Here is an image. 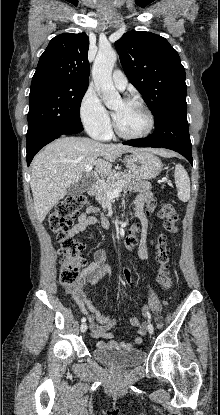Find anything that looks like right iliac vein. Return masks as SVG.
Here are the masks:
<instances>
[{
  "instance_id": "obj_1",
  "label": "right iliac vein",
  "mask_w": 220,
  "mask_h": 415,
  "mask_svg": "<svg viewBox=\"0 0 220 415\" xmlns=\"http://www.w3.org/2000/svg\"><path fill=\"white\" fill-rule=\"evenodd\" d=\"M87 328H88V326H87V324H86V323H83V324L80 326V330H81V332H82V333L86 332Z\"/></svg>"
}]
</instances>
